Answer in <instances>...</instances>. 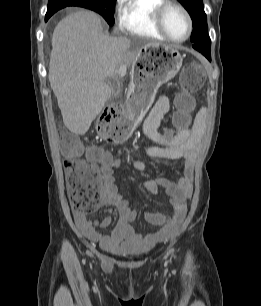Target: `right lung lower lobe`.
Segmentation results:
<instances>
[{
	"mask_svg": "<svg viewBox=\"0 0 261 306\" xmlns=\"http://www.w3.org/2000/svg\"><path fill=\"white\" fill-rule=\"evenodd\" d=\"M53 14H46L45 21H47Z\"/></svg>",
	"mask_w": 261,
	"mask_h": 306,
	"instance_id": "1",
	"label": "right lung lower lobe"
}]
</instances>
